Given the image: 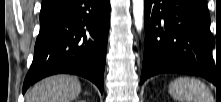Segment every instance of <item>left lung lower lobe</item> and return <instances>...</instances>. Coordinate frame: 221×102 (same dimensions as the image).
Instances as JSON below:
<instances>
[{
	"label": "left lung lower lobe",
	"mask_w": 221,
	"mask_h": 102,
	"mask_svg": "<svg viewBox=\"0 0 221 102\" xmlns=\"http://www.w3.org/2000/svg\"><path fill=\"white\" fill-rule=\"evenodd\" d=\"M141 84L161 73L198 75L213 84L218 67L205 0H145Z\"/></svg>",
	"instance_id": "0a47b994"
}]
</instances>
